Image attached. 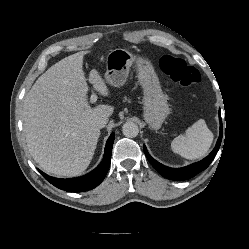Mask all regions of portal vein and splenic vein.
<instances>
[{"mask_svg": "<svg viewBox=\"0 0 249 249\" xmlns=\"http://www.w3.org/2000/svg\"><path fill=\"white\" fill-rule=\"evenodd\" d=\"M97 101V96L96 94H92L91 97H90V102L91 103H95Z\"/></svg>", "mask_w": 249, "mask_h": 249, "instance_id": "portal-vein-and-splenic-vein-1", "label": "portal vein and splenic vein"}]
</instances>
